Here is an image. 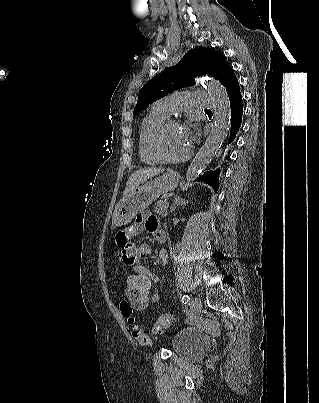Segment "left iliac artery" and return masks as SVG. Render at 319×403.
Returning a JSON list of instances; mask_svg holds the SVG:
<instances>
[{
  "instance_id": "left-iliac-artery-1",
  "label": "left iliac artery",
  "mask_w": 319,
  "mask_h": 403,
  "mask_svg": "<svg viewBox=\"0 0 319 403\" xmlns=\"http://www.w3.org/2000/svg\"><path fill=\"white\" fill-rule=\"evenodd\" d=\"M189 301H190V297L188 295H183L182 303L186 305L189 303Z\"/></svg>"
}]
</instances>
